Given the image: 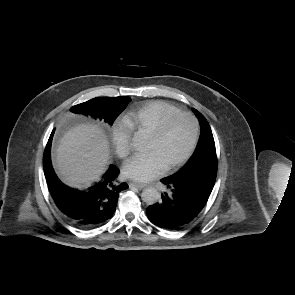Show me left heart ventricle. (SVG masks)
I'll return each mask as SVG.
<instances>
[{
    "mask_svg": "<svg viewBox=\"0 0 295 295\" xmlns=\"http://www.w3.org/2000/svg\"><path fill=\"white\" fill-rule=\"evenodd\" d=\"M193 132V122L189 117H175L168 123L160 138L149 137L146 152H154L166 167L185 154L192 141Z\"/></svg>",
    "mask_w": 295,
    "mask_h": 295,
    "instance_id": "left-heart-ventricle-1",
    "label": "left heart ventricle"
}]
</instances>
